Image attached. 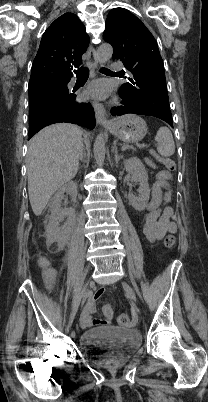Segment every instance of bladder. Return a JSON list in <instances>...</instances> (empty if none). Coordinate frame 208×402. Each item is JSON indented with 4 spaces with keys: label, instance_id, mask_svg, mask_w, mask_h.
<instances>
[{
    "label": "bladder",
    "instance_id": "31cf9c89",
    "mask_svg": "<svg viewBox=\"0 0 208 402\" xmlns=\"http://www.w3.org/2000/svg\"><path fill=\"white\" fill-rule=\"evenodd\" d=\"M81 345L94 363L117 364L131 356L141 343L140 334L122 327H95L83 331Z\"/></svg>",
    "mask_w": 208,
    "mask_h": 402
}]
</instances>
